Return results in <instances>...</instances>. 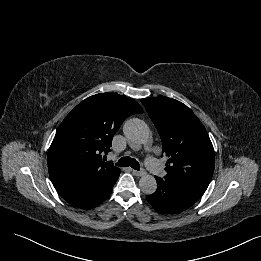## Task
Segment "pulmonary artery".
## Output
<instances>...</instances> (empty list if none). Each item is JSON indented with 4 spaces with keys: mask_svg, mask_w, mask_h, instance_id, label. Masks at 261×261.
Listing matches in <instances>:
<instances>
[{
    "mask_svg": "<svg viewBox=\"0 0 261 261\" xmlns=\"http://www.w3.org/2000/svg\"><path fill=\"white\" fill-rule=\"evenodd\" d=\"M147 168L156 176H161L164 174L163 167L161 166L158 159L153 156H148L145 160Z\"/></svg>",
    "mask_w": 261,
    "mask_h": 261,
    "instance_id": "obj_1",
    "label": "pulmonary artery"
}]
</instances>
